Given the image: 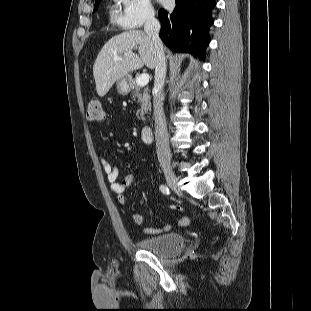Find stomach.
I'll use <instances>...</instances> for the list:
<instances>
[{"mask_svg": "<svg viewBox=\"0 0 311 311\" xmlns=\"http://www.w3.org/2000/svg\"><path fill=\"white\" fill-rule=\"evenodd\" d=\"M131 80L130 76L127 75L116 81V88L119 94L127 95L129 93Z\"/></svg>", "mask_w": 311, "mask_h": 311, "instance_id": "obj_1", "label": "stomach"}]
</instances>
